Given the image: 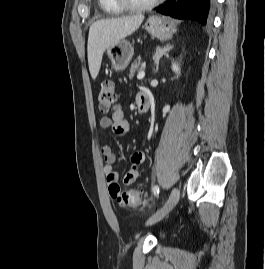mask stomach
I'll return each instance as SVG.
<instances>
[{"instance_id":"0dacf381","label":"stomach","mask_w":265,"mask_h":269,"mask_svg":"<svg viewBox=\"0 0 265 269\" xmlns=\"http://www.w3.org/2000/svg\"><path fill=\"white\" fill-rule=\"evenodd\" d=\"M145 29L160 40L170 39L177 30L172 20L160 16L150 17L145 24ZM133 54L134 49L126 40H120L117 44L107 49V55L115 71H123L131 61Z\"/></svg>"}]
</instances>
